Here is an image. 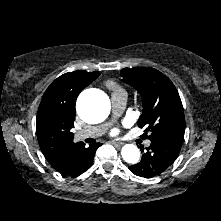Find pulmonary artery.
I'll list each match as a JSON object with an SVG mask.
<instances>
[{
	"instance_id": "pulmonary-artery-1",
	"label": "pulmonary artery",
	"mask_w": 221,
	"mask_h": 221,
	"mask_svg": "<svg viewBox=\"0 0 221 221\" xmlns=\"http://www.w3.org/2000/svg\"><path fill=\"white\" fill-rule=\"evenodd\" d=\"M127 101V94L123 90H116L111 95V104H112V111L114 116H119L125 109ZM110 123H105L96 126H90L85 129H82L76 133V137L78 139H85V138H97L102 136L106 130L108 129ZM150 141H146V145H149Z\"/></svg>"
}]
</instances>
